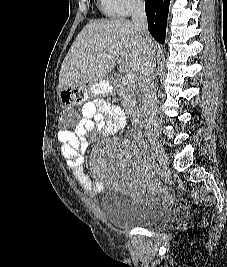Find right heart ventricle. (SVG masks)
<instances>
[{
	"label": "right heart ventricle",
	"instance_id": "right-heart-ventricle-1",
	"mask_svg": "<svg viewBox=\"0 0 227 267\" xmlns=\"http://www.w3.org/2000/svg\"><path fill=\"white\" fill-rule=\"evenodd\" d=\"M100 9L104 15L116 17L119 15L118 10L108 0H100Z\"/></svg>",
	"mask_w": 227,
	"mask_h": 267
}]
</instances>
